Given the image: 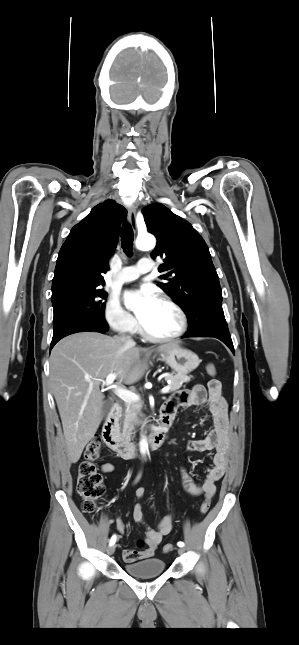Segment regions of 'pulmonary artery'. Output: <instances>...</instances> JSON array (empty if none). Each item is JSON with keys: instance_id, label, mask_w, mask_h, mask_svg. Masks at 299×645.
<instances>
[{"instance_id": "1", "label": "pulmonary artery", "mask_w": 299, "mask_h": 645, "mask_svg": "<svg viewBox=\"0 0 299 645\" xmlns=\"http://www.w3.org/2000/svg\"><path fill=\"white\" fill-rule=\"evenodd\" d=\"M154 263L148 258H143L135 266L124 267L118 274V281L127 283L136 280L140 275L152 271Z\"/></svg>"}]
</instances>
